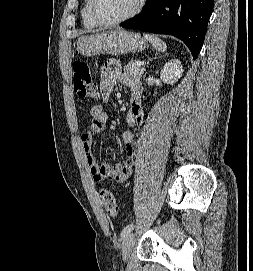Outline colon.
Segmentation results:
<instances>
[{"label":"colon","mask_w":253,"mask_h":271,"mask_svg":"<svg viewBox=\"0 0 253 271\" xmlns=\"http://www.w3.org/2000/svg\"><path fill=\"white\" fill-rule=\"evenodd\" d=\"M73 88L75 94L82 99L95 100L98 97L97 88L88 68V65L77 60L72 65ZM99 198L105 211L113 216L119 215L118 206L114 194L106 188L99 190Z\"/></svg>","instance_id":"obj_1"}]
</instances>
